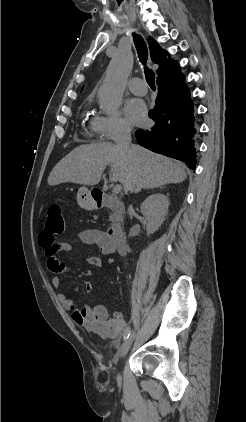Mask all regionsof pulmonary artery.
Here are the masks:
<instances>
[{"label": "pulmonary artery", "instance_id": "pulmonary-artery-1", "mask_svg": "<svg viewBox=\"0 0 246 422\" xmlns=\"http://www.w3.org/2000/svg\"><path fill=\"white\" fill-rule=\"evenodd\" d=\"M128 88L136 95L143 96L147 93V86L145 81L141 78L133 77L128 81Z\"/></svg>", "mask_w": 246, "mask_h": 422}]
</instances>
